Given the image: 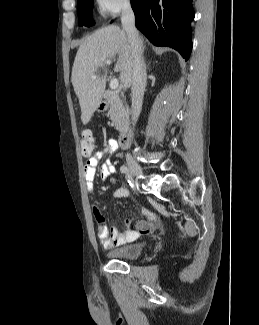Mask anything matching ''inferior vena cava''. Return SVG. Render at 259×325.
<instances>
[{"mask_svg": "<svg viewBox=\"0 0 259 325\" xmlns=\"http://www.w3.org/2000/svg\"><path fill=\"white\" fill-rule=\"evenodd\" d=\"M122 28L126 32L133 49L132 60V87H131V109L133 125L139 118L142 110L143 95L146 87V65L143 58V49L138 31L135 27L134 12L129 3L122 8Z\"/></svg>", "mask_w": 259, "mask_h": 325, "instance_id": "inferior-vena-cava-1", "label": "inferior vena cava"}]
</instances>
